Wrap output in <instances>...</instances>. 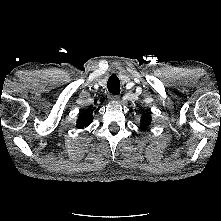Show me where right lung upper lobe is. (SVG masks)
Wrapping results in <instances>:
<instances>
[{"label": "right lung upper lobe", "instance_id": "right-lung-upper-lobe-1", "mask_svg": "<svg viewBox=\"0 0 221 221\" xmlns=\"http://www.w3.org/2000/svg\"><path fill=\"white\" fill-rule=\"evenodd\" d=\"M92 121L93 116L88 111L81 112L77 120V127L82 129L87 127Z\"/></svg>", "mask_w": 221, "mask_h": 221}]
</instances>
